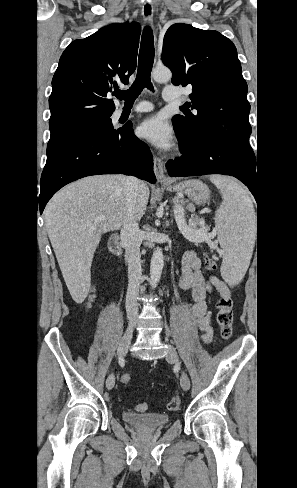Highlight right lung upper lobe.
I'll use <instances>...</instances> for the list:
<instances>
[{
    "instance_id": "cb5924a9",
    "label": "right lung upper lobe",
    "mask_w": 297,
    "mask_h": 488,
    "mask_svg": "<svg viewBox=\"0 0 297 488\" xmlns=\"http://www.w3.org/2000/svg\"><path fill=\"white\" fill-rule=\"evenodd\" d=\"M139 36L138 23H115L70 43L52 80L51 133L112 115L109 97L136 69Z\"/></svg>"
}]
</instances>
